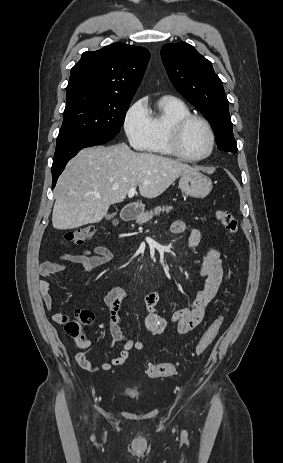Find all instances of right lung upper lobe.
<instances>
[{
  "mask_svg": "<svg viewBox=\"0 0 283 463\" xmlns=\"http://www.w3.org/2000/svg\"><path fill=\"white\" fill-rule=\"evenodd\" d=\"M150 58L142 47L115 43L98 51H87L71 69L66 94L84 91L131 99Z\"/></svg>",
  "mask_w": 283,
  "mask_h": 463,
  "instance_id": "right-lung-upper-lobe-1",
  "label": "right lung upper lobe"
}]
</instances>
